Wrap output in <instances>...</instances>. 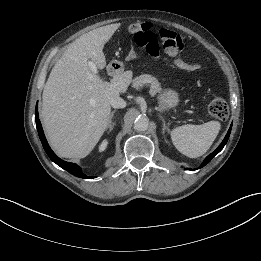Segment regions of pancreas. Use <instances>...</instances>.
Returning <instances> with one entry per match:
<instances>
[{
	"label": "pancreas",
	"instance_id": "1",
	"mask_svg": "<svg viewBox=\"0 0 261 261\" xmlns=\"http://www.w3.org/2000/svg\"><path fill=\"white\" fill-rule=\"evenodd\" d=\"M144 86H150V93L157 94L161 92V86L158 80L148 74L140 75L133 80L132 87L135 89H141Z\"/></svg>",
	"mask_w": 261,
	"mask_h": 261
}]
</instances>
